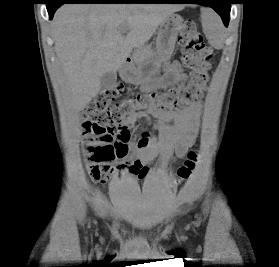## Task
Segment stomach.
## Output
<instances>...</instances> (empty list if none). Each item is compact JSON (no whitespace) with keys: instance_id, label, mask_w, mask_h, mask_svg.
<instances>
[{"instance_id":"obj_1","label":"stomach","mask_w":279,"mask_h":267,"mask_svg":"<svg viewBox=\"0 0 279 267\" xmlns=\"http://www.w3.org/2000/svg\"><path fill=\"white\" fill-rule=\"evenodd\" d=\"M183 29V18L178 14H170L160 24L156 40V56L138 66L125 65L120 76L126 83L141 85L157 80L163 63L170 60L178 34Z\"/></svg>"}]
</instances>
